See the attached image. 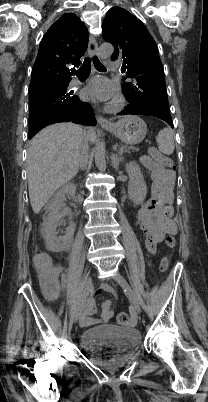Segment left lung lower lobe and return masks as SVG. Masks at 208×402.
<instances>
[{
  "label": "left lung lower lobe",
  "instance_id": "0a47b994",
  "mask_svg": "<svg viewBox=\"0 0 208 402\" xmlns=\"http://www.w3.org/2000/svg\"><path fill=\"white\" fill-rule=\"evenodd\" d=\"M118 114L119 115L132 114V115L154 116V117L164 120L173 128V122H172V118H171L169 112L164 109L158 108V107L129 103L127 106H125L124 110H122Z\"/></svg>",
  "mask_w": 208,
  "mask_h": 402
}]
</instances>
